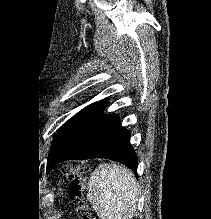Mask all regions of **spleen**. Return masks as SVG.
I'll return each mask as SVG.
<instances>
[{
	"mask_svg": "<svg viewBox=\"0 0 211 219\" xmlns=\"http://www.w3.org/2000/svg\"><path fill=\"white\" fill-rule=\"evenodd\" d=\"M138 188L132 172L115 164H100L88 183L87 199L101 219H132Z\"/></svg>",
	"mask_w": 211,
	"mask_h": 219,
	"instance_id": "obj_1",
	"label": "spleen"
}]
</instances>
